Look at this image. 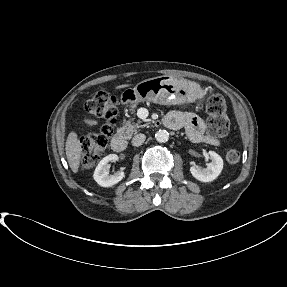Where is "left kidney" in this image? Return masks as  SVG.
<instances>
[{"label":"left kidney","instance_id":"1","mask_svg":"<svg viewBox=\"0 0 287 287\" xmlns=\"http://www.w3.org/2000/svg\"><path fill=\"white\" fill-rule=\"evenodd\" d=\"M210 155L211 163L206 168H199L192 166L190 172L194 178L202 182H210L215 180L223 169V159L214 151L208 152Z\"/></svg>","mask_w":287,"mask_h":287}]
</instances>
